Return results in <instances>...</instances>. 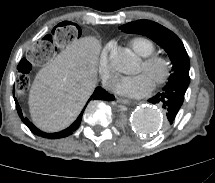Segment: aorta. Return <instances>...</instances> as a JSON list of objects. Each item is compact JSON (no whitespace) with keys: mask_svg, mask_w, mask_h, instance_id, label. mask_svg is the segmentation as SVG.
Instances as JSON below:
<instances>
[{"mask_svg":"<svg viewBox=\"0 0 215 183\" xmlns=\"http://www.w3.org/2000/svg\"><path fill=\"white\" fill-rule=\"evenodd\" d=\"M111 64L119 72L128 73L134 64L133 55L124 48H119L111 54ZM133 128L142 134H153L161 129L163 114L152 106L138 108L131 117Z\"/></svg>","mask_w":215,"mask_h":183,"instance_id":"762f6f07","label":"aorta"}]
</instances>
